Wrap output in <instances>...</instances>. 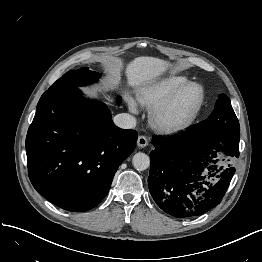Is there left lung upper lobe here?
<instances>
[{"label": "left lung upper lobe", "mask_w": 262, "mask_h": 262, "mask_svg": "<svg viewBox=\"0 0 262 262\" xmlns=\"http://www.w3.org/2000/svg\"><path fill=\"white\" fill-rule=\"evenodd\" d=\"M228 130L240 131V126L230 99L225 95H219L215 108L211 115L203 122L189 129L190 132L212 135Z\"/></svg>", "instance_id": "5c2ea615"}]
</instances>
